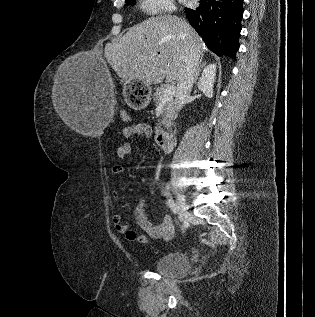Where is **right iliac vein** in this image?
I'll return each instance as SVG.
<instances>
[{"instance_id": "63e3f726", "label": "right iliac vein", "mask_w": 315, "mask_h": 317, "mask_svg": "<svg viewBox=\"0 0 315 317\" xmlns=\"http://www.w3.org/2000/svg\"><path fill=\"white\" fill-rule=\"evenodd\" d=\"M177 209H178V212H179V217H180V220L182 221L185 217V214H186V210H187V207H186V201H185V198L184 196L182 195H178V198H177Z\"/></svg>"}]
</instances>
